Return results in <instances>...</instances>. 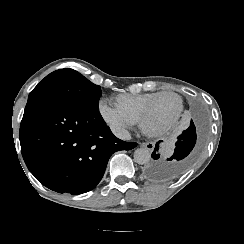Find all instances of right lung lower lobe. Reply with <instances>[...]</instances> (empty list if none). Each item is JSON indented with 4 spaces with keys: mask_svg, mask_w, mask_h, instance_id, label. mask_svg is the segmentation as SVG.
Returning a JSON list of instances; mask_svg holds the SVG:
<instances>
[{
    "mask_svg": "<svg viewBox=\"0 0 244 244\" xmlns=\"http://www.w3.org/2000/svg\"><path fill=\"white\" fill-rule=\"evenodd\" d=\"M19 138L35 178L51 190L73 195L99 183L114 152L137 145L116 138L99 111L49 99L27 102Z\"/></svg>",
    "mask_w": 244,
    "mask_h": 244,
    "instance_id": "98d812e1",
    "label": "right lung lower lobe"
}]
</instances>
